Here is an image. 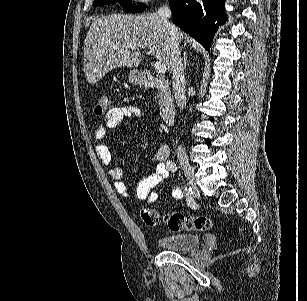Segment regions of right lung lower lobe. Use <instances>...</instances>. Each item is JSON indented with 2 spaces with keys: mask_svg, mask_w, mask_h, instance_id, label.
I'll use <instances>...</instances> for the list:
<instances>
[{
  "mask_svg": "<svg viewBox=\"0 0 307 301\" xmlns=\"http://www.w3.org/2000/svg\"><path fill=\"white\" fill-rule=\"evenodd\" d=\"M169 1L173 23L204 47H210L218 26L227 20L224 0Z\"/></svg>",
  "mask_w": 307,
  "mask_h": 301,
  "instance_id": "98d812e1",
  "label": "right lung lower lobe"
}]
</instances>
